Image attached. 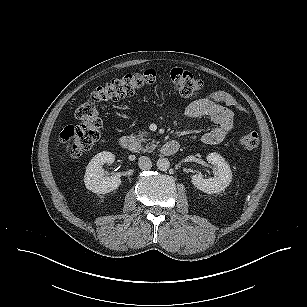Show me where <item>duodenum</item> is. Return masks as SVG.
I'll use <instances>...</instances> for the list:
<instances>
[{
	"mask_svg": "<svg viewBox=\"0 0 307 307\" xmlns=\"http://www.w3.org/2000/svg\"><path fill=\"white\" fill-rule=\"evenodd\" d=\"M120 147L124 150H133L135 148V141L130 136H122L119 141ZM179 149V143L175 140H170L164 143L161 147V154L164 156H171Z\"/></svg>",
	"mask_w": 307,
	"mask_h": 307,
	"instance_id": "410a0bca",
	"label": "duodenum"
}]
</instances>
